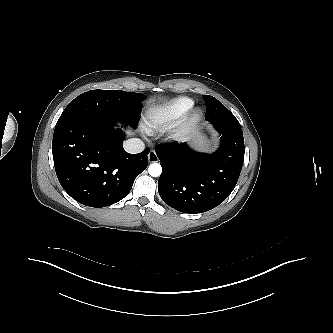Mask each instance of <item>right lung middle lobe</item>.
I'll list each match as a JSON object with an SVG mask.
<instances>
[{
    "label": "right lung middle lobe",
    "mask_w": 333,
    "mask_h": 333,
    "mask_svg": "<svg viewBox=\"0 0 333 333\" xmlns=\"http://www.w3.org/2000/svg\"><path fill=\"white\" fill-rule=\"evenodd\" d=\"M141 93L121 90H91L72 100L58 122L78 121L82 124L115 123L135 125L141 113Z\"/></svg>",
    "instance_id": "1"
}]
</instances>
